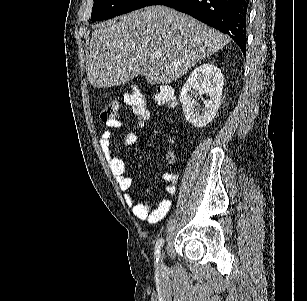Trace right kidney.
<instances>
[{"mask_svg": "<svg viewBox=\"0 0 307 301\" xmlns=\"http://www.w3.org/2000/svg\"><path fill=\"white\" fill-rule=\"evenodd\" d=\"M223 84V74L215 64L205 62L194 68L180 90V100L188 122L197 128L212 122L221 104ZM204 92H207L209 98L204 100V110L199 112L195 106Z\"/></svg>", "mask_w": 307, "mask_h": 301, "instance_id": "1", "label": "right kidney"}]
</instances>
